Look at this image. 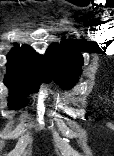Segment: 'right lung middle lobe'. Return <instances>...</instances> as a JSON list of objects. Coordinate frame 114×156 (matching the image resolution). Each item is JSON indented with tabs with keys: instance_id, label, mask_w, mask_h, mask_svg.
<instances>
[{
	"instance_id": "obj_1",
	"label": "right lung middle lobe",
	"mask_w": 114,
	"mask_h": 156,
	"mask_svg": "<svg viewBox=\"0 0 114 156\" xmlns=\"http://www.w3.org/2000/svg\"><path fill=\"white\" fill-rule=\"evenodd\" d=\"M41 81L48 83L51 81V77L36 78L19 86H12L5 83V85L10 89L9 106L12 109L24 107L27 104L25 95H28L30 92L37 90V85Z\"/></svg>"
}]
</instances>
